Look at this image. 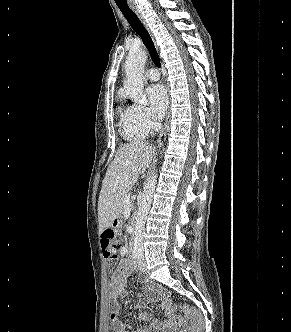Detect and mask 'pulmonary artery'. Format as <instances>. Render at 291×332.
<instances>
[{
    "mask_svg": "<svg viewBox=\"0 0 291 332\" xmlns=\"http://www.w3.org/2000/svg\"><path fill=\"white\" fill-rule=\"evenodd\" d=\"M145 76L147 79L151 81H157L160 78V74L157 69L155 68H150L146 71Z\"/></svg>",
    "mask_w": 291,
    "mask_h": 332,
    "instance_id": "pulmonary-artery-1",
    "label": "pulmonary artery"
}]
</instances>
